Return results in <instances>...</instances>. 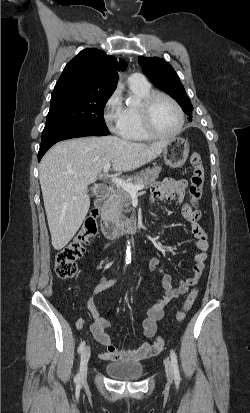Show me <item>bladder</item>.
Listing matches in <instances>:
<instances>
[{
	"label": "bladder",
	"mask_w": 250,
	"mask_h": 413,
	"mask_svg": "<svg viewBox=\"0 0 250 413\" xmlns=\"http://www.w3.org/2000/svg\"><path fill=\"white\" fill-rule=\"evenodd\" d=\"M105 372L117 380H139L143 377L144 365L138 362L108 363L104 367Z\"/></svg>",
	"instance_id": "31cf9c89"
}]
</instances>
